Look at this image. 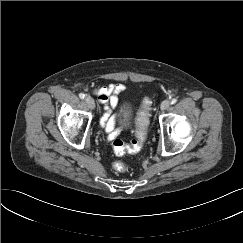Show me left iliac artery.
<instances>
[{
    "label": "left iliac artery",
    "mask_w": 243,
    "mask_h": 243,
    "mask_svg": "<svg viewBox=\"0 0 243 243\" xmlns=\"http://www.w3.org/2000/svg\"><path fill=\"white\" fill-rule=\"evenodd\" d=\"M176 102H177V99H176V98H173V99L170 101L171 104H175Z\"/></svg>",
    "instance_id": "1"
}]
</instances>
